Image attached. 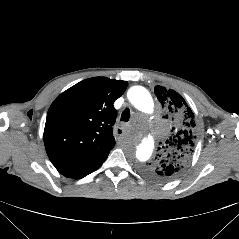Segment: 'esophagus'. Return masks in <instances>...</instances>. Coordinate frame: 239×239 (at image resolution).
I'll use <instances>...</instances> for the list:
<instances>
[{
  "instance_id": "1",
  "label": "esophagus",
  "mask_w": 239,
  "mask_h": 239,
  "mask_svg": "<svg viewBox=\"0 0 239 239\" xmlns=\"http://www.w3.org/2000/svg\"><path fill=\"white\" fill-rule=\"evenodd\" d=\"M114 135L116 137H122L124 135V130L122 128H116L114 130Z\"/></svg>"
}]
</instances>
